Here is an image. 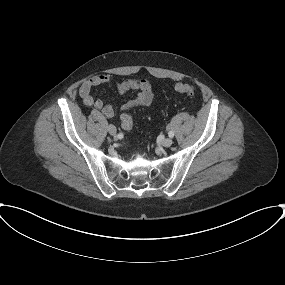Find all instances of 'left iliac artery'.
Instances as JSON below:
<instances>
[{"instance_id":"left-iliac-artery-1","label":"left iliac artery","mask_w":285,"mask_h":285,"mask_svg":"<svg viewBox=\"0 0 285 285\" xmlns=\"http://www.w3.org/2000/svg\"><path fill=\"white\" fill-rule=\"evenodd\" d=\"M168 135H169L170 138H173L174 137V132L173 131H169Z\"/></svg>"}]
</instances>
